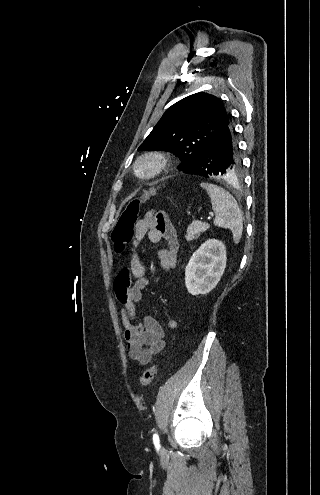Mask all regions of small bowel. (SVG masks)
Listing matches in <instances>:
<instances>
[{
  "label": "small bowel",
  "instance_id": "c3829d8e",
  "mask_svg": "<svg viewBox=\"0 0 320 495\" xmlns=\"http://www.w3.org/2000/svg\"><path fill=\"white\" fill-rule=\"evenodd\" d=\"M134 232L130 265L118 273L115 290L121 305L123 336L128 355L138 364L147 365L165 349L166 340L164 329L156 319L150 315H144L140 319L137 314L142 291L147 286L145 266L139 258L137 247L144 237L153 244L166 241L168 248L159 249L158 256L161 268L169 271L176 267L179 243L173 223L165 212L159 210L146 212L135 223ZM131 277L134 281H131ZM166 325L168 329L175 330L178 321L170 319Z\"/></svg>",
  "mask_w": 320,
  "mask_h": 495
}]
</instances>
